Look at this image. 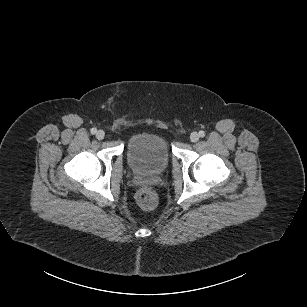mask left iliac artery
<instances>
[{"instance_id":"44dca946","label":"left iliac artery","mask_w":307,"mask_h":307,"mask_svg":"<svg viewBox=\"0 0 307 307\" xmlns=\"http://www.w3.org/2000/svg\"><path fill=\"white\" fill-rule=\"evenodd\" d=\"M199 136L200 137H204L205 136V131H203V130L199 131Z\"/></svg>"}]
</instances>
